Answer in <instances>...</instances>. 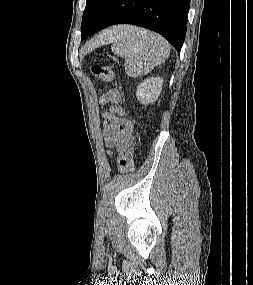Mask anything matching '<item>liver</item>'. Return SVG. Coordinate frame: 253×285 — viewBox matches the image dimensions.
<instances>
[{"instance_id":"liver-1","label":"liver","mask_w":253,"mask_h":285,"mask_svg":"<svg viewBox=\"0 0 253 285\" xmlns=\"http://www.w3.org/2000/svg\"><path fill=\"white\" fill-rule=\"evenodd\" d=\"M127 26H118L113 27L112 29H109L107 31H104L102 34H100L92 43V46L99 45L100 43L108 42L111 38L116 36L119 32L124 30Z\"/></svg>"}]
</instances>
